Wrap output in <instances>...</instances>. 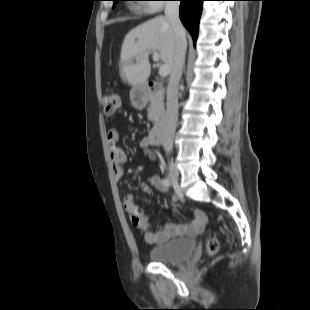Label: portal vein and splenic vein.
Returning <instances> with one entry per match:
<instances>
[{
	"mask_svg": "<svg viewBox=\"0 0 310 310\" xmlns=\"http://www.w3.org/2000/svg\"><path fill=\"white\" fill-rule=\"evenodd\" d=\"M159 58H160L159 53L157 51H153V60L155 62H158ZM168 74H169L168 66L167 65L160 66V68H159V75L161 77H166Z\"/></svg>",
	"mask_w": 310,
	"mask_h": 310,
	"instance_id": "obj_1",
	"label": "portal vein and splenic vein"
}]
</instances>
